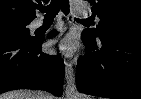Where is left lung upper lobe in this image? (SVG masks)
<instances>
[{"mask_svg":"<svg viewBox=\"0 0 141 99\" xmlns=\"http://www.w3.org/2000/svg\"><path fill=\"white\" fill-rule=\"evenodd\" d=\"M93 14L100 18L96 29H85L82 34L91 41L103 35L141 36L140 0H88Z\"/></svg>","mask_w":141,"mask_h":99,"instance_id":"1","label":"left lung upper lobe"}]
</instances>
